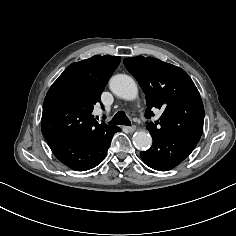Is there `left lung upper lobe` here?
<instances>
[{"instance_id": "obj_1", "label": "left lung upper lobe", "mask_w": 236, "mask_h": 236, "mask_svg": "<svg viewBox=\"0 0 236 236\" xmlns=\"http://www.w3.org/2000/svg\"><path fill=\"white\" fill-rule=\"evenodd\" d=\"M124 65L146 95V117L154 116L152 108L163 110L158 121L147 125L151 134L202 135L203 103L195 84L184 70L151 57L125 58Z\"/></svg>"}]
</instances>
